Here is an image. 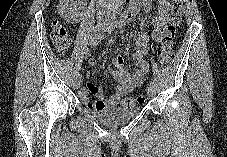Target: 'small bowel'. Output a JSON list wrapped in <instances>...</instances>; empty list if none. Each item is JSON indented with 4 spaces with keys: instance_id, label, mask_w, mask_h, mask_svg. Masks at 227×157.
Wrapping results in <instances>:
<instances>
[{
    "instance_id": "c3829d8e",
    "label": "small bowel",
    "mask_w": 227,
    "mask_h": 157,
    "mask_svg": "<svg viewBox=\"0 0 227 157\" xmlns=\"http://www.w3.org/2000/svg\"><path fill=\"white\" fill-rule=\"evenodd\" d=\"M137 4L138 9L143 6L147 12H152V0H138ZM157 6L158 13L152 18V37L155 41H164L168 37L166 25L169 21L171 3L169 0H157ZM90 42L91 44H95L98 41H94L92 37ZM147 52V39L145 36H141L136 49L131 54L134 61L132 71L128 70L121 56H117L113 59L115 69L111 72V76L113 80L118 83L113 95L110 98H106L103 89L90 82L85 87L78 90L81 101L89 109H104L118 105L124 96L142 85L148 70V63L144 59V55L147 54ZM90 63L97 65L98 60L92 58ZM90 95L96 97V100L92 101Z\"/></svg>"
}]
</instances>
